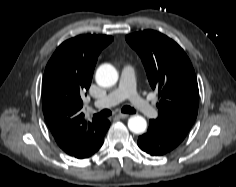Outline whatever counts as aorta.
<instances>
[{"instance_id": "aorta-1", "label": "aorta", "mask_w": 236, "mask_h": 187, "mask_svg": "<svg viewBox=\"0 0 236 187\" xmlns=\"http://www.w3.org/2000/svg\"><path fill=\"white\" fill-rule=\"evenodd\" d=\"M95 79L99 86L111 87L118 80V72L112 65L103 64L97 69ZM146 127L147 122L142 116L135 115L128 120V128L135 134L145 132Z\"/></svg>"}]
</instances>
